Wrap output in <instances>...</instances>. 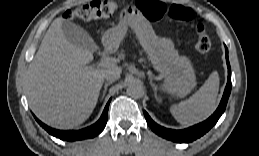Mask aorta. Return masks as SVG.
<instances>
[{"mask_svg": "<svg viewBox=\"0 0 259 156\" xmlns=\"http://www.w3.org/2000/svg\"><path fill=\"white\" fill-rule=\"evenodd\" d=\"M127 94L133 98H141L144 95V87L138 80L131 81L127 86Z\"/></svg>", "mask_w": 259, "mask_h": 156, "instance_id": "1", "label": "aorta"}]
</instances>
